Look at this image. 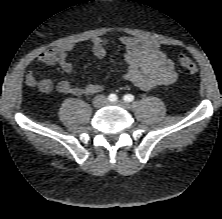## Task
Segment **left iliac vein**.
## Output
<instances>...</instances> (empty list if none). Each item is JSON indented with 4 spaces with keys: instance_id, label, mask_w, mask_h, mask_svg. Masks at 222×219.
<instances>
[{
    "instance_id": "obj_1",
    "label": "left iliac vein",
    "mask_w": 222,
    "mask_h": 219,
    "mask_svg": "<svg viewBox=\"0 0 222 219\" xmlns=\"http://www.w3.org/2000/svg\"><path fill=\"white\" fill-rule=\"evenodd\" d=\"M115 104H117V105H119L123 108H126V109L129 108V104L126 101H123V100H118V101L115 102Z\"/></svg>"
}]
</instances>
